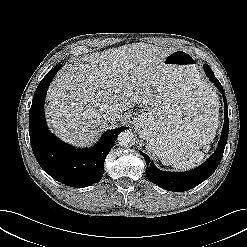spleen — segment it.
I'll return each mask as SVG.
<instances>
[{"mask_svg": "<svg viewBox=\"0 0 247 247\" xmlns=\"http://www.w3.org/2000/svg\"><path fill=\"white\" fill-rule=\"evenodd\" d=\"M210 141L206 142L205 145V150L209 151L210 147L208 145ZM205 154L202 151H196L191 156L189 157L188 161H177L172 163L173 167L178 169V170H189L191 168H194L196 165L202 163L204 160ZM166 165V164H164Z\"/></svg>", "mask_w": 247, "mask_h": 247, "instance_id": "1", "label": "spleen"}]
</instances>
